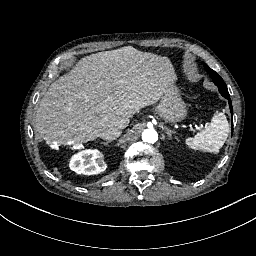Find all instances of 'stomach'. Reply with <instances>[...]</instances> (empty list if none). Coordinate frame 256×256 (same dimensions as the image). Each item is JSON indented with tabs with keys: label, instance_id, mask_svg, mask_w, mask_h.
<instances>
[{
	"label": "stomach",
	"instance_id": "stomach-1",
	"mask_svg": "<svg viewBox=\"0 0 256 256\" xmlns=\"http://www.w3.org/2000/svg\"><path fill=\"white\" fill-rule=\"evenodd\" d=\"M156 113L168 122H179L187 116L186 104L175 82L162 89V96L156 106Z\"/></svg>",
	"mask_w": 256,
	"mask_h": 256
}]
</instances>
